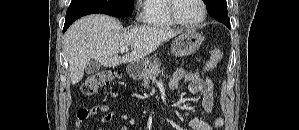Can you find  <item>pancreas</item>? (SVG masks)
Masks as SVG:
<instances>
[{
    "label": "pancreas",
    "instance_id": "1",
    "mask_svg": "<svg viewBox=\"0 0 299 130\" xmlns=\"http://www.w3.org/2000/svg\"><path fill=\"white\" fill-rule=\"evenodd\" d=\"M161 64L158 61H154L151 63L148 68L144 69L140 75V79L142 80L143 87L149 88V84L151 80H154L158 74L163 71L160 69Z\"/></svg>",
    "mask_w": 299,
    "mask_h": 130
}]
</instances>
